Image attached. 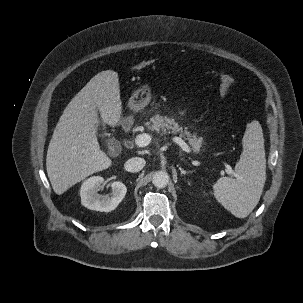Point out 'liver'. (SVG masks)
<instances>
[{
    "label": "liver",
    "mask_w": 303,
    "mask_h": 303,
    "mask_svg": "<svg viewBox=\"0 0 303 303\" xmlns=\"http://www.w3.org/2000/svg\"><path fill=\"white\" fill-rule=\"evenodd\" d=\"M122 115L118 73L95 75L70 101L48 146L46 169L54 192L63 194L93 173L108 169L112 160L100 149L97 126H116Z\"/></svg>",
    "instance_id": "1"
}]
</instances>
